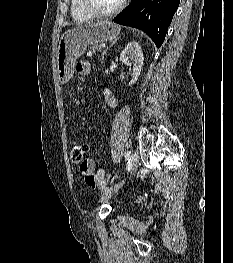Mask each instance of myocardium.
I'll return each instance as SVG.
<instances>
[{
	"label": "myocardium",
	"mask_w": 233,
	"mask_h": 263,
	"mask_svg": "<svg viewBox=\"0 0 233 263\" xmlns=\"http://www.w3.org/2000/svg\"><path fill=\"white\" fill-rule=\"evenodd\" d=\"M127 0H121L119 4L109 10V11H99L95 9L91 4L89 0H81L82 6L84 10L91 16L95 18H107V17H112L116 14H118L125 6Z\"/></svg>",
	"instance_id": "1"
}]
</instances>
